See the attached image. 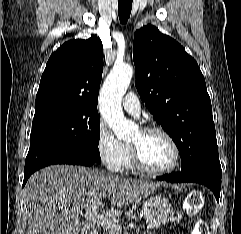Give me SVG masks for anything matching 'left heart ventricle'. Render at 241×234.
<instances>
[{
  "label": "left heart ventricle",
  "mask_w": 241,
  "mask_h": 234,
  "mask_svg": "<svg viewBox=\"0 0 241 234\" xmlns=\"http://www.w3.org/2000/svg\"><path fill=\"white\" fill-rule=\"evenodd\" d=\"M131 143L140 148L144 163L153 169H164L174 160V150L170 142L161 134L143 135L139 130L132 138Z\"/></svg>",
  "instance_id": "b2bd125f"
}]
</instances>
